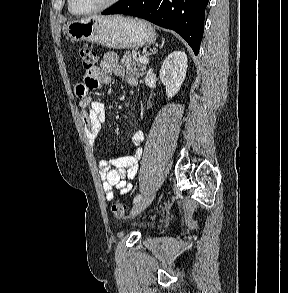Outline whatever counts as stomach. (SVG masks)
Masks as SVG:
<instances>
[{"instance_id": "0dacf381", "label": "stomach", "mask_w": 288, "mask_h": 293, "mask_svg": "<svg viewBox=\"0 0 288 293\" xmlns=\"http://www.w3.org/2000/svg\"><path fill=\"white\" fill-rule=\"evenodd\" d=\"M67 38L89 41L113 49H134L155 42V33L145 21L122 16H90L67 23Z\"/></svg>"}]
</instances>
